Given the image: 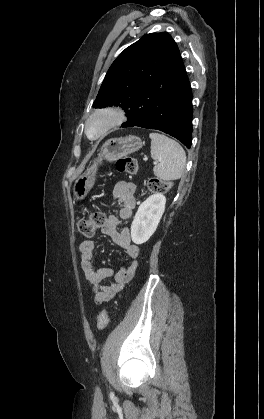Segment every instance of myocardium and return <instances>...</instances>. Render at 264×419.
<instances>
[{"mask_svg":"<svg viewBox=\"0 0 264 419\" xmlns=\"http://www.w3.org/2000/svg\"><path fill=\"white\" fill-rule=\"evenodd\" d=\"M95 120L102 122L101 129L95 136H90L89 127ZM126 120L125 110L117 105H109L94 110L87 118L84 126V132L91 141L100 140L105 137L112 129L120 126Z\"/></svg>","mask_w":264,"mask_h":419,"instance_id":"1","label":"myocardium"}]
</instances>
